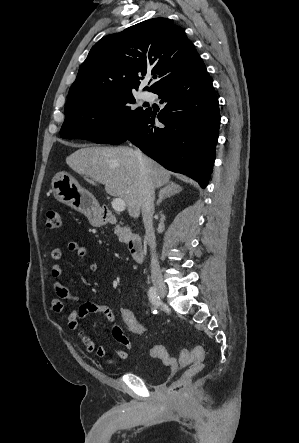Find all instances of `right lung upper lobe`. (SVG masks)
Returning <instances> with one entry per match:
<instances>
[{
	"mask_svg": "<svg viewBox=\"0 0 299 443\" xmlns=\"http://www.w3.org/2000/svg\"><path fill=\"white\" fill-rule=\"evenodd\" d=\"M205 67L182 28L154 18L99 40L82 63L66 106L138 90L143 76L156 79L148 91ZM146 89V88H145Z\"/></svg>",
	"mask_w": 299,
	"mask_h": 443,
	"instance_id": "cb5924a9",
	"label": "right lung upper lobe"
}]
</instances>
